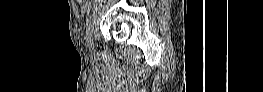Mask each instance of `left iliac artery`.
<instances>
[{"mask_svg":"<svg viewBox=\"0 0 263 92\" xmlns=\"http://www.w3.org/2000/svg\"><path fill=\"white\" fill-rule=\"evenodd\" d=\"M89 19H92V16H89ZM85 39L88 45L93 43L92 40V31H91V21L89 20L87 22V28H86V33H85Z\"/></svg>","mask_w":263,"mask_h":92,"instance_id":"left-iliac-artery-1","label":"left iliac artery"}]
</instances>
